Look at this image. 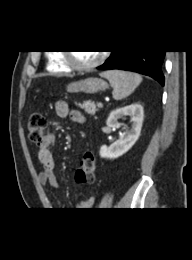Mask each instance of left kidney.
Here are the masks:
<instances>
[{"mask_svg": "<svg viewBox=\"0 0 192 260\" xmlns=\"http://www.w3.org/2000/svg\"><path fill=\"white\" fill-rule=\"evenodd\" d=\"M125 116L131 117V128L125 127V131L120 133L119 139L109 147L102 145L100 148L101 158L116 159L129 151L138 140L144 118L143 107L140 104L134 103L112 111L106 124L113 129L120 128L121 124L118 120Z\"/></svg>", "mask_w": 192, "mask_h": 260, "instance_id": "obj_1", "label": "left kidney"}]
</instances>
